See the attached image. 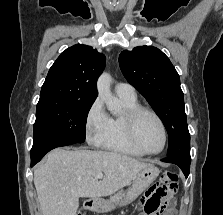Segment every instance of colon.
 I'll return each mask as SVG.
<instances>
[{
    "label": "colon",
    "mask_w": 223,
    "mask_h": 215,
    "mask_svg": "<svg viewBox=\"0 0 223 215\" xmlns=\"http://www.w3.org/2000/svg\"><path fill=\"white\" fill-rule=\"evenodd\" d=\"M162 180L163 182L168 185L170 188H176L178 181H179V177L177 174L173 173V172H165L162 176ZM152 211L156 212L158 215L162 214L163 209L162 207L158 206V205H153L150 208ZM77 215H85L83 212H79Z\"/></svg>",
    "instance_id": "1"
}]
</instances>
